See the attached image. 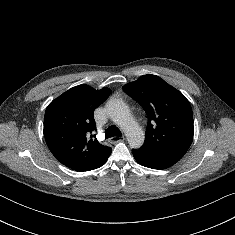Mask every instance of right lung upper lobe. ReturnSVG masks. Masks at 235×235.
Segmentation results:
<instances>
[{"instance_id":"obj_1","label":"right lung upper lobe","mask_w":235,"mask_h":235,"mask_svg":"<svg viewBox=\"0 0 235 235\" xmlns=\"http://www.w3.org/2000/svg\"><path fill=\"white\" fill-rule=\"evenodd\" d=\"M108 88L73 87L53 100L44 116V137L59 162L76 171L93 170L112 151L92 139L94 110L110 95Z\"/></svg>"}]
</instances>
